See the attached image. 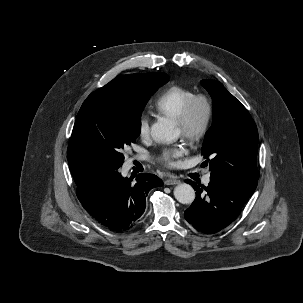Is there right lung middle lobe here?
Listing matches in <instances>:
<instances>
[{
	"instance_id": "obj_1",
	"label": "right lung middle lobe",
	"mask_w": 303,
	"mask_h": 303,
	"mask_svg": "<svg viewBox=\"0 0 303 303\" xmlns=\"http://www.w3.org/2000/svg\"><path fill=\"white\" fill-rule=\"evenodd\" d=\"M167 81V74L158 73L142 93L102 87L90 94L77 115L68 149L85 153L98 170H117L124 161L123 149L135 143L140 134L145 104ZM68 163L75 181L90 174L77 161Z\"/></svg>"
}]
</instances>
